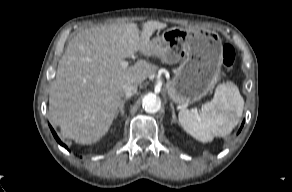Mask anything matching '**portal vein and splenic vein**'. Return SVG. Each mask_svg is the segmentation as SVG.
Returning <instances> with one entry per match:
<instances>
[{
	"label": "portal vein and splenic vein",
	"instance_id": "18ae733b",
	"mask_svg": "<svg viewBox=\"0 0 292 192\" xmlns=\"http://www.w3.org/2000/svg\"><path fill=\"white\" fill-rule=\"evenodd\" d=\"M128 65H129V62H128V61H122V62H121V66H122L123 68H127Z\"/></svg>",
	"mask_w": 292,
	"mask_h": 192
}]
</instances>
